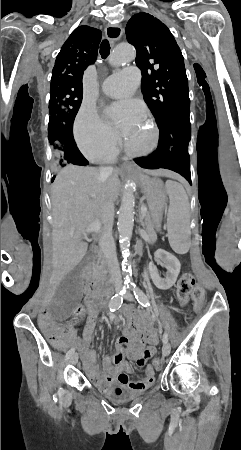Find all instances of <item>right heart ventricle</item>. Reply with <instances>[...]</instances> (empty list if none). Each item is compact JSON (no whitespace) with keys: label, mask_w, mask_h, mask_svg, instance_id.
I'll list each match as a JSON object with an SVG mask.
<instances>
[{"label":"right heart ventricle","mask_w":241,"mask_h":450,"mask_svg":"<svg viewBox=\"0 0 241 450\" xmlns=\"http://www.w3.org/2000/svg\"><path fill=\"white\" fill-rule=\"evenodd\" d=\"M127 126L131 125V124H126ZM113 159V157L110 158V160Z\"/></svg>","instance_id":"obj_1"}]
</instances>
